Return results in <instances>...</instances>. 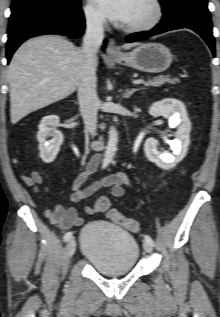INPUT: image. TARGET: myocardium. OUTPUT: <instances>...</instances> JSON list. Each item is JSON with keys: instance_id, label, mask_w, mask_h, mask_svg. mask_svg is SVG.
I'll return each instance as SVG.
<instances>
[{"instance_id": "f54148a6", "label": "myocardium", "mask_w": 220, "mask_h": 317, "mask_svg": "<svg viewBox=\"0 0 220 317\" xmlns=\"http://www.w3.org/2000/svg\"><path fill=\"white\" fill-rule=\"evenodd\" d=\"M153 8V14L147 21L133 24L123 25L122 28L128 33H141L155 28L162 20L164 15V7L161 0H148Z\"/></svg>"}]
</instances>
